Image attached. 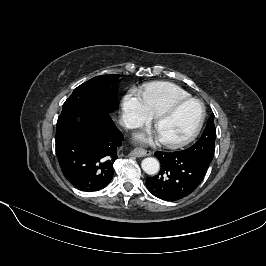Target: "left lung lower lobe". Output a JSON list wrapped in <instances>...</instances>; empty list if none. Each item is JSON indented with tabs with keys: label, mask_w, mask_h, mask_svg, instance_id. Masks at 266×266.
Wrapping results in <instances>:
<instances>
[{
	"label": "left lung lower lobe",
	"mask_w": 266,
	"mask_h": 266,
	"mask_svg": "<svg viewBox=\"0 0 266 266\" xmlns=\"http://www.w3.org/2000/svg\"><path fill=\"white\" fill-rule=\"evenodd\" d=\"M160 172L147 178V189L157 198L176 201L191 194L202 182L208 167L182 151L155 152Z\"/></svg>",
	"instance_id": "0a47b994"
}]
</instances>
